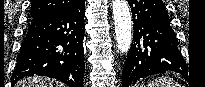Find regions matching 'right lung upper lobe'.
Masks as SVG:
<instances>
[{
    "mask_svg": "<svg viewBox=\"0 0 205 87\" xmlns=\"http://www.w3.org/2000/svg\"><path fill=\"white\" fill-rule=\"evenodd\" d=\"M82 0H32L31 18H40L66 10Z\"/></svg>",
    "mask_w": 205,
    "mask_h": 87,
    "instance_id": "obj_1",
    "label": "right lung upper lobe"
}]
</instances>
